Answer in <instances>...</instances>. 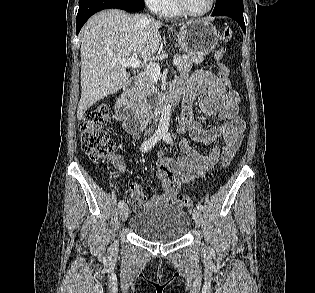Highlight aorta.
Instances as JSON below:
<instances>
[{"mask_svg":"<svg viewBox=\"0 0 315 293\" xmlns=\"http://www.w3.org/2000/svg\"><path fill=\"white\" fill-rule=\"evenodd\" d=\"M170 116H171V105L166 104L163 107L162 113H161V118L159 122L158 129L162 132H167L169 123H170Z\"/></svg>","mask_w":315,"mask_h":293,"instance_id":"obj_1","label":"aorta"}]
</instances>
